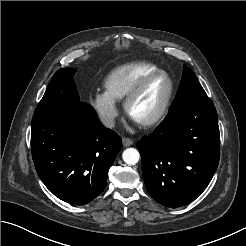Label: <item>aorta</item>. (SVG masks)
Here are the masks:
<instances>
[{
	"mask_svg": "<svg viewBox=\"0 0 246 246\" xmlns=\"http://www.w3.org/2000/svg\"><path fill=\"white\" fill-rule=\"evenodd\" d=\"M123 161L127 165H135L140 158V154L135 148H127L122 154Z\"/></svg>",
	"mask_w": 246,
	"mask_h": 246,
	"instance_id": "aorta-1",
	"label": "aorta"
}]
</instances>
